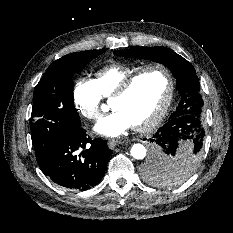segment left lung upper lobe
<instances>
[{
    "mask_svg": "<svg viewBox=\"0 0 233 233\" xmlns=\"http://www.w3.org/2000/svg\"><path fill=\"white\" fill-rule=\"evenodd\" d=\"M117 56L148 59L160 62L169 68L176 79V87L181 100L168 120H195L201 118L203 100L200 94V83L194 67L173 50L165 47H135L128 50H116ZM199 159L184 157L179 160H166L161 164L164 174L182 182L187 179L197 166ZM151 181H158L157 175H144Z\"/></svg>",
    "mask_w": 233,
    "mask_h": 233,
    "instance_id": "1",
    "label": "left lung upper lobe"
}]
</instances>
